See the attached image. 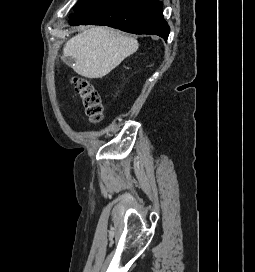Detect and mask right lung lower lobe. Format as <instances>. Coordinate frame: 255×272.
<instances>
[{"instance_id": "1", "label": "right lung lower lobe", "mask_w": 255, "mask_h": 272, "mask_svg": "<svg viewBox=\"0 0 255 272\" xmlns=\"http://www.w3.org/2000/svg\"><path fill=\"white\" fill-rule=\"evenodd\" d=\"M158 0H90L69 19L70 25H104L167 40L170 28Z\"/></svg>"}]
</instances>
